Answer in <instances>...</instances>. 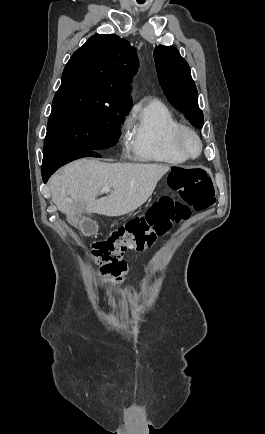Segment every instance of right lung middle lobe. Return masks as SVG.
<instances>
[{
    "label": "right lung middle lobe",
    "instance_id": "dd1d6c3e",
    "mask_svg": "<svg viewBox=\"0 0 265 434\" xmlns=\"http://www.w3.org/2000/svg\"><path fill=\"white\" fill-rule=\"evenodd\" d=\"M130 107V101L91 84L61 85L52 103L44 157L115 145Z\"/></svg>",
    "mask_w": 265,
    "mask_h": 434
}]
</instances>
